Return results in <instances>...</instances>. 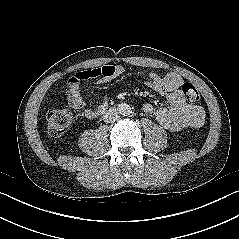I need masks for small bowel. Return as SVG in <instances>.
<instances>
[{"instance_id":"c3829d8e","label":"small bowel","mask_w":239,"mask_h":239,"mask_svg":"<svg viewBox=\"0 0 239 239\" xmlns=\"http://www.w3.org/2000/svg\"><path fill=\"white\" fill-rule=\"evenodd\" d=\"M122 65H104L97 69L80 70L68 80L67 98L69 104L76 109H85L86 103L81 94V83L95 79L98 84H105L120 78L124 74ZM147 85L155 92L164 95L170 103V108L155 107L145 103L142 110L153 116L159 124L172 132L185 129H197L204 124L205 111L200 105L186 101L181 86L183 80L179 74L168 73L160 75L155 72L148 74ZM108 97L96 109H85V116L94 118L102 114L108 106Z\"/></svg>"}]
</instances>
